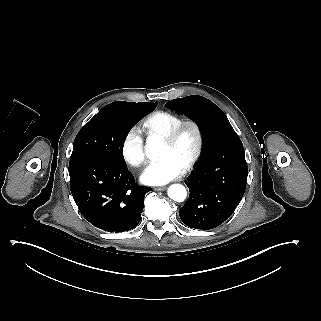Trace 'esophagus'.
<instances>
[{
  "mask_svg": "<svg viewBox=\"0 0 321 321\" xmlns=\"http://www.w3.org/2000/svg\"><path fill=\"white\" fill-rule=\"evenodd\" d=\"M167 187L163 186V187H156L154 188V191H164Z\"/></svg>",
  "mask_w": 321,
  "mask_h": 321,
  "instance_id": "esophagus-1",
  "label": "esophagus"
}]
</instances>
